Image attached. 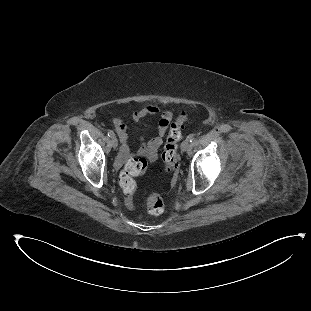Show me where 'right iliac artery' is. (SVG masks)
Returning <instances> with one entry per match:
<instances>
[{
	"label": "right iliac artery",
	"instance_id": "1",
	"mask_svg": "<svg viewBox=\"0 0 311 311\" xmlns=\"http://www.w3.org/2000/svg\"><path fill=\"white\" fill-rule=\"evenodd\" d=\"M108 136L109 137H114L115 134H114V132L112 130H108Z\"/></svg>",
	"mask_w": 311,
	"mask_h": 311
}]
</instances>
